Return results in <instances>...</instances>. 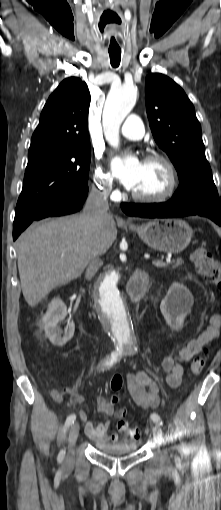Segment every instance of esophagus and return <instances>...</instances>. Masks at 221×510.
Masks as SVG:
<instances>
[{"instance_id": "esophagus-1", "label": "esophagus", "mask_w": 221, "mask_h": 510, "mask_svg": "<svg viewBox=\"0 0 221 510\" xmlns=\"http://www.w3.org/2000/svg\"><path fill=\"white\" fill-rule=\"evenodd\" d=\"M125 221L129 222V219H125Z\"/></svg>"}]
</instances>
